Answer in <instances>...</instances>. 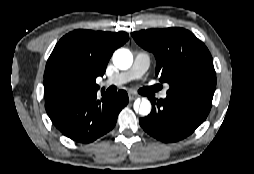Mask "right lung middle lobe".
<instances>
[{
  "label": "right lung middle lobe",
  "instance_id": "obj_1",
  "mask_svg": "<svg viewBox=\"0 0 254 174\" xmlns=\"http://www.w3.org/2000/svg\"><path fill=\"white\" fill-rule=\"evenodd\" d=\"M92 89L93 87L83 80L71 76H61L48 87L45 99L64 97Z\"/></svg>",
  "mask_w": 254,
  "mask_h": 174
}]
</instances>
